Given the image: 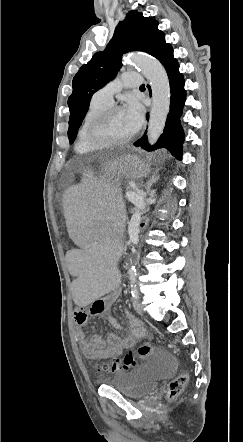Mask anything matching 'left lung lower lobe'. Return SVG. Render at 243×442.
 <instances>
[{
    "mask_svg": "<svg viewBox=\"0 0 243 442\" xmlns=\"http://www.w3.org/2000/svg\"><path fill=\"white\" fill-rule=\"evenodd\" d=\"M153 56L165 67L169 78L171 90L170 112L167 116L164 132L161 134L155 145H149L146 134L136 141L134 145L141 146L147 151L166 148L171 154L178 159H181L184 132L181 126L180 117L186 99L184 78L179 72V64L177 60L173 57V49L170 44L165 42V39H163L157 46Z\"/></svg>",
    "mask_w": 243,
    "mask_h": 442,
    "instance_id": "1",
    "label": "left lung lower lobe"
}]
</instances>
